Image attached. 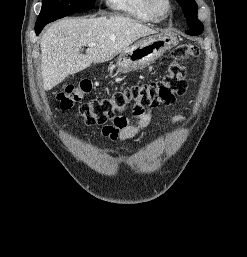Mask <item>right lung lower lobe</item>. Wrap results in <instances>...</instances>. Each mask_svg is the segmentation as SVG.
<instances>
[{"mask_svg": "<svg viewBox=\"0 0 247 257\" xmlns=\"http://www.w3.org/2000/svg\"><path fill=\"white\" fill-rule=\"evenodd\" d=\"M47 23H40L35 25V32L38 35Z\"/></svg>", "mask_w": 247, "mask_h": 257, "instance_id": "obj_1", "label": "right lung lower lobe"}]
</instances>
